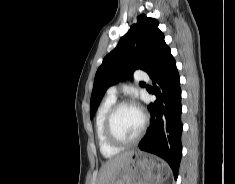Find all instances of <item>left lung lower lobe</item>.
<instances>
[{"label":"left lung lower lobe","mask_w":235,"mask_h":184,"mask_svg":"<svg viewBox=\"0 0 235 184\" xmlns=\"http://www.w3.org/2000/svg\"><path fill=\"white\" fill-rule=\"evenodd\" d=\"M148 75L153 81L156 101L149 105L151 125L139 148L163 158L176 179L182 156L181 89L176 62L164 41Z\"/></svg>","instance_id":"left-lung-lower-lobe-1"}]
</instances>
